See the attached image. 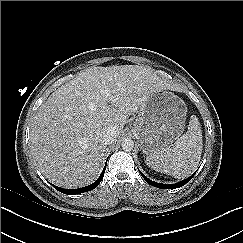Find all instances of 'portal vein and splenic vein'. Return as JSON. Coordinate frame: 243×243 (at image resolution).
Wrapping results in <instances>:
<instances>
[{"mask_svg":"<svg viewBox=\"0 0 243 243\" xmlns=\"http://www.w3.org/2000/svg\"><path fill=\"white\" fill-rule=\"evenodd\" d=\"M105 94H106V96L110 95L108 90H105Z\"/></svg>","mask_w":243,"mask_h":243,"instance_id":"18ae733b","label":"portal vein and splenic vein"}]
</instances>
